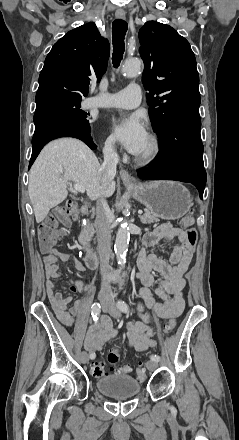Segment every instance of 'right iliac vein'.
Instances as JSON below:
<instances>
[{
    "instance_id": "obj_1",
    "label": "right iliac vein",
    "mask_w": 239,
    "mask_h": 440,
    "mask_svg": "<svg viewBox=\"0 0 239 440\" xmlns=\"http://www.w3.org/2000/svg\"><path fill=\"white\" fill-rule=\"evenodd\" d=\"M100 300L102 302V309H103V311L107 312V310L109 309L110 304L108 302L104 301L102 297L100 298ZM80 361L83 364L88 363L89 356H88L87 352H85V351L81 352V354H80Z\"/></svg>"
}]
</instances>
